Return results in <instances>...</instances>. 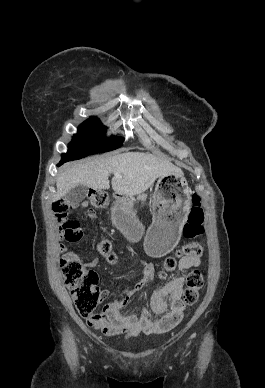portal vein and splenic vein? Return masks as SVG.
<instances>
[{
  "instance_id": "18ae733b",
  "label": "portal vein and splenic vein",
  "mask_w": 265,
  "mask_h": 388,
  "mask_svg": "<svg viewBox=\"0 0 265 388\" xmlns=\"http://www.w3.org/2000/svg\"><path fill=\"white\" fill-rule=\"evenodd\" d=\"M114 176H117V178H121L120 174L118 172H115Z\"/></svg>"
}]
</instances>
